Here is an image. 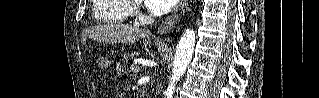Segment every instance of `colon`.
Here are the masks:
<instances>
[{
    "label": "colon",
    "instance_id": "obj_1",
    "mask_svg": "<svg viewBox=\"0 0 319 98\" xmlns=\"http://www.w3.org/2000/svg\"><path fill=\"white\" fill-rule=\"evenodd\" d=\"M95 62L97 66L101 69H105L107 67V60L99 54L95 55Z\"/></svg>",
    "mask_w": 319,
    "mask_h": 98
}]
</instances>
